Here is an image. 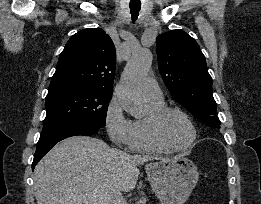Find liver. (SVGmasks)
Here are the masks:
<instances>
[{
  "instance_id": "1",
  "label": "liver",
  "mask_w": 261,
  "mask_h": 204,
  "mask_svg": "<svg viewBox=\"0 0 261 204\" xmlns=\"http://www.w3.org/2000/svg\"><path fill=\"white\" fill-rule=\"evenodd\" d=\"M166 160L130 155L98 138L74 136L57 144L35 167L37 204H109L113 191H132L137 166Z\"/></svg>"
}]
</instances>
